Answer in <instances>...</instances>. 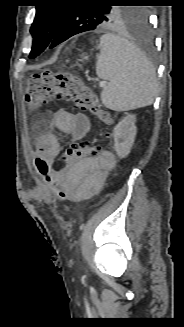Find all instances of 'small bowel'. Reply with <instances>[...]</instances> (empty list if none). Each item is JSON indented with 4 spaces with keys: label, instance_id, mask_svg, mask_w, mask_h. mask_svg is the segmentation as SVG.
Instances as JSON below:
<instances>
[{
    "label": "small bowel",
    "instance_id": "small-bowel-1",
    "mask_svg": "<svg viewBox=\"0 0 184 327\" xmlns=\"http://www.w3.org/2000/svg\"><path fill=\"white\" fill-rule=\"evenodd\" d=\"M91 130L88 117L83 113H73L62 109L55 113L45 132L37 143L35 165H54L58 159V182L67 187L69 200L78 201L87 196L98 193L108 173L115 167L116 159L112 152L101 151L96 157L93 153H62L59 138L55 131L68 134L74 141L86 138ZM39 153L49 154V163L41 164ZM77 160H86L77 164ZM44 173V172H41ZM51 187L54 185H50ZM26 194L34 199V206H44L45 200L50 198L49 192H42L39 188H27Z\"/></svg>",
    "mask_w": 184,
    "mask_h": 327
}]
</instances>
